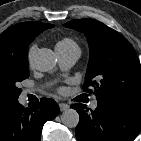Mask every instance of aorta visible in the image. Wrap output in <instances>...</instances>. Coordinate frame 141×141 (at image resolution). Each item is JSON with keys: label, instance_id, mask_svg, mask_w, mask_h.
<instances>
[{"label": "aorta", "instance_id": "762f6f07", "mask_svg": "<svg viewBox=\"0 0 141 141\" xmlns=\"http://www.w3.org/2000/svg\"><path fill=\"white\" fill-rule=\"evenodd\" d=\"M32 66L41 72H48L55 66L53 51L47 48L37 50L31 57ZM62 123L68 128H75L79 122V114L74 109H67L61 115Z\"/></svg>", "mask_w": 141, "mask_h": 141}]
</instances>
